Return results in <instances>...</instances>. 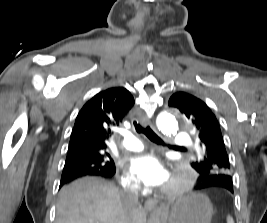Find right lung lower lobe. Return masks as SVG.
Segmentation results:
<instances>
[{
	"instance_id": "right-lung-lower-lobe-1",
	"label": "right lung lower lobe",
	"mask_w": 267,
	"mask_h": 223,
	"mask_svg": "<svg viewBox=\"0 0 267 223\" xmlns=\"http://www.w3.org/2000/svg\"><path fill=\"white\" fill-rule=\"evenodd\" d=\"M114 173H101V172H91V173H79V172H64L62 173L60 187L67 182H70L78 177L90 175V176H101L105 178H110Z\"/></svg>"
}]
</instances>
